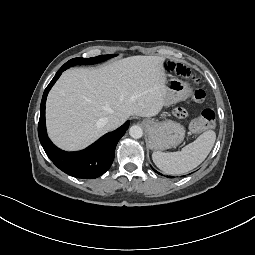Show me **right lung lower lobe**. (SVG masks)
<instances>
[{"label": "right lung lower lobe", "instance_id": "98d812e1", "mask_svg": "<svg viewBox=\"0 0 255 255\" xmlns=\"http://www.w3.org/2000/svg\"><path fill=\"white\" fill-rule=\"evenodd\" d=\"M69 67L71 66L64 64L44 91L38 124L39 140L47 156L60 170L76 178L94 179L104 174L110 168L115 155V147L128 129L129 121L125 122L115 131L105 134L82 151L66 152L57 148L47 136L45 102L51 87L60 77L61 73Z\"/></svg>", "mask_w": 255, "mask_h": 255}]
</instances>
